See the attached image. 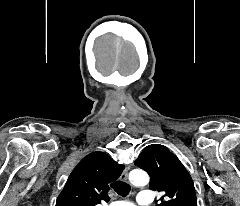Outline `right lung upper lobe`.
I'll return each instance as SVG.
<instances>
[{
    "instance_id": "1",
    "label": "right lung upper lobe",
    "mask_w": 240,
    "mask_h": 206,
    "mask_svg": "<svg viewBox=\"0 0 240 206\" xmlns=\"http://www.w3.org/2000/svg\"><path fill=\"white\" fill-rule=\"evenodd\" d=\"M124 168L104 152L85 156L70 174L56 206H96L108 201L109 183L118 179Z\"/></svg>"
}]
</instances>
